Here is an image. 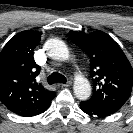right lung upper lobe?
<instances>
[{"instance_id": "right-lung-upper-lobe-1", "label": "right lung upper lobe", "mask_w": 133, "mask_h": 133, "mask_svg": "<svg viewBox=\"0 0 133 133\" xmlns=\"http://www.w3.org/2000/svg\"><path fill=\"white\" fill-rule=\"evenodd\" d=\"M40 37V32H20L0 53V101L24 117L46 111L56 95L36 83L41 68L35 63L33 52Z\"/></svg>"}]
</instances>
